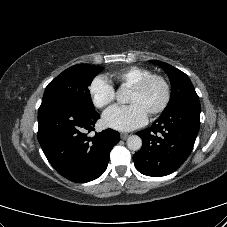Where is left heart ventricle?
<instances>
[{
    "label": "left heart ventricle",
    "instance_id": "1",
    "mask_svg": "<svg viewBox=\"0 0 227 227\" xmlns=\"http://www.w3.org/2000/svg\"><path fill=\"white\" fill-rule=\"evenodd\" d=\"M164 97V89L160 82L153 81L144 91L137 92L132 89L129 102L140 104L147 113L158 107Z\"/></svg>",
    "mask_w": 227,
    "mask_h": 227
}]
</instances>
